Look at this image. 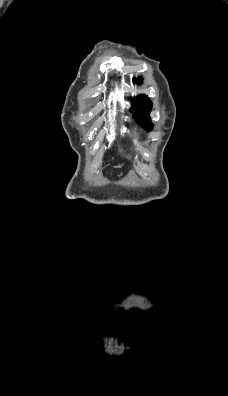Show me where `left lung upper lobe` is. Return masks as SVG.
<instances>
[{
	"instance_id": "1",
	"label": "left lung upper lobe",
	"mask_w": 228,
	"mask_h": 396,
	"mask_svg": "<svg viewBox=\"0 0 228 396\" xmlns=\"http://www.w3.org/2000/svg\"><path fill=\"white\" fill-rule=\"evenodd\" d=\"M138 78V83H141V81ZM152 109V104L150 99L145 96V95H139L133 100V107L131 111L136 110V112L133 113L134 119L136 120L137 123H139L145 130H151L152 125H151V119L149 117V113Z\"/></svg>"
}]
</instances>
